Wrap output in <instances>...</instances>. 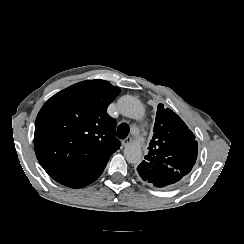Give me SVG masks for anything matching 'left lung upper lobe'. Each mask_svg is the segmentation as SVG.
<instances>
[{"mask_svg": "<svg viewBox=\"0 0 244 244\" xmlns=\"http://www.w3.org/2000/svg\"><path fill=\"white\" fill-rule=\"evenodd\" d=\"M153 132L149 153L139 166L165 175H187L198 153L192 131L176 113L159 104Z\"/></svg>", "mask_w": 244, "mask_h": 244, "instance_id": "obj_1", "label": "left lung upper lobe"}]
</instances>
